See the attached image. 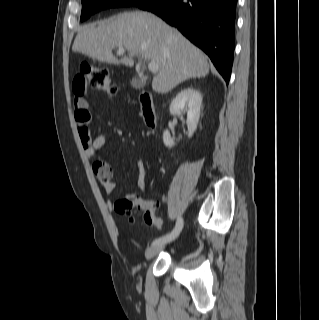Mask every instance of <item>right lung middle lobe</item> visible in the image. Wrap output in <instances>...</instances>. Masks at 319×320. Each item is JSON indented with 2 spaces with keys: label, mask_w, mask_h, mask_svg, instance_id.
Wrapping results in <instances>:
<instances>
[{
  "label": "right lung middle lobe",
  "mask_w": 319,
  "mask_h": 320,
  "mask_svg": "<svg viewBox=\"0 0 319 320\" xmlns=\"http://www.w3.org/2000/svg\"><path fill=\"white\" fill-rule=\"evenodd\" d=\"M152 0H82L81 21L92 14L111 7L140 6Z\"/></svg>",
  "instance_id": "1"
}]
</instances>
